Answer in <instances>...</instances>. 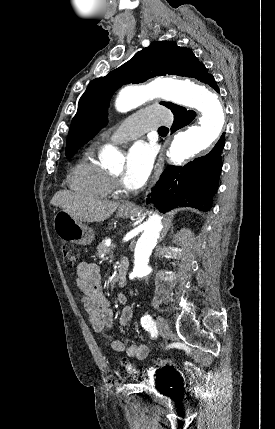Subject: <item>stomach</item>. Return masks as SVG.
<instances>
[{"label":"stomach","mask_w":275,"mask_h":429,"mask_svg":"<svg viewBox=\"0 0 275 429\" xmlns=\"http://www.w3.org/2000/svg\"><path fill=\"white\" fill-rule=\"evenodd\" d=\"M134 207H127L125 204L118 209L117 216L127 218L135 212ZM53 227L56 234L63 240L70 241L80 245H89L94 233L91 228L76 221L65 211H59L53 218Z\"/></svg>","instance_id":"1"}]
</instances>
